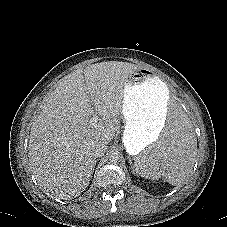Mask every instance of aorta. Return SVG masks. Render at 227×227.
<instances>
[{"mask_svg":"<svg viewBox=\"0 0 227 227\" xmlns=\"http://www.w3.org/2000/svg\"><path fill=\"white\" fill-rule=\"evenodd\" d=\"M109 161L112 163H117L120 161V154L118 152H112L109 155Z\"/></svg>","mask_w":227,"mask_h":227,"instance_id":"aorta-1","label":"aorta"}]
</instances>
